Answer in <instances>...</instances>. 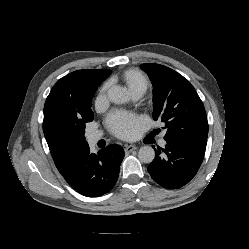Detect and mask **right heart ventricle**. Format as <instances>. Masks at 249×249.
<instances>
[{"label":"right heart ventricle","mask_w":249,"mask_h":249,"mask_svg":"<svg viewBox=\"0 0 249 249\" xmlns=\"http://www.w3.org/2000/svg\"><path fill=\"white\" fill-rule=\"evenodd\" d=\"M130 93L143 94L149 87V80L146 75L138 69H127L119 75Z\"/></svg>","instance_id":"obj_1"}]
</instances>
